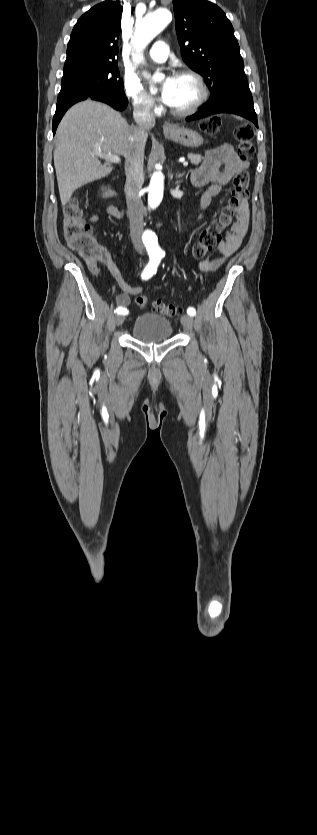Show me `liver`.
I'll return each mask as SVG.
<instances>
[{
  "instance_id": "obj_1",
  "label": "liver",
  "mask_w": 317,
  "mask_h": 835,
  "mask_svg": "<svg viewBox=\"0 0 317 835\" xmlns=\"http://www.w3.org/2000/svg\"><path fill=\"white\" fill-rule=\"evenodd\" d=\"M130 128L119 112L97 101L79 102L66 112L56 131L53 153L63 206L77 188L111 173L113 167L98 157L126 156Z\"/></svg>"
}]
</instances>
